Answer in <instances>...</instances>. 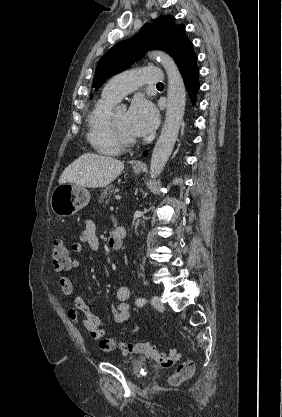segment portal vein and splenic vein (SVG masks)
Wrapping results in <instances>:
<instances>
[{"instance_id":"1","label":"portal vein and splenic vein","mask_w":282,"mask_h":417,"mask_svg":"<svg viewBox=\"0 0 282 417\" xmlns=\"http://www.w3.org/2000/svg\"><path fill=\"white\" fill-rule=\"evenodd\" d=\"M116 198H118L119 200H122L123 199V196L122 195H119V196H116Z\"/></svg>"}]
</instances>
